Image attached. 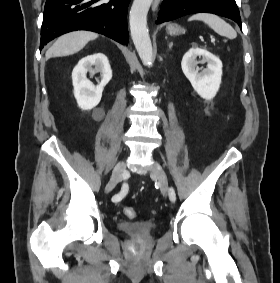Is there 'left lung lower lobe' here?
<instances>
[{
    "label": "left lung lower lobe",
    "instance_id": "left-lung-lower-lobe-1",
    "mask_svg": "<svg viewBox=\"0 0 280 283\" xmlns=\"http://www.w3.org/2000/svg\"><path fill=\"white\" fill-rule=\"evenodd\" d=\"M201 12L230 18L241 27V17L235 0H164L155 23L160 24Z\"/></svg>",
    "mask_w": 280,
    "mask_h": 283
}]
</instances>
